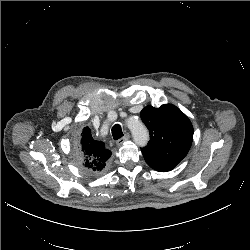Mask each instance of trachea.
<instances>
[{"label": "trachea", "mask_w": 250, "mask_h": 250, "mask_svg": "<svg viewBox=\"0 0 250 250\" xmlns=\"http://www.w3.org/2000/svg\"><path fill=\"white\" fill-rule=\"evenodd\" d=\"M112 136L114 140H118L123 137L122 128L119 124H116L112 127Z\"/></svg>", "instance_id": "trachea-1"}]
</instances>
